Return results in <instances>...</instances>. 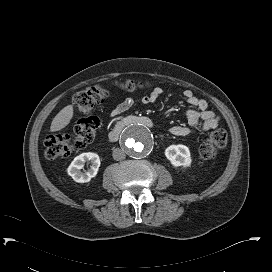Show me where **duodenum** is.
Returning a JSON list of instances; mask_svg holds the SVG:
<instances>
[{
    "mask_svg": "<svg viewBox=\"0 0 272 272\" xmlns=\"http://www.w3.org/2000/svg\"><path fill=\"white\" fill-rule=\"evenodd\" d=\"M134 121L135 119L133 118H127L116 123L113 128L108 132V141L111 143L116 142L119 139L123 128L126 125L133 123Z\"/></svg>",
    "mask_w": 272,
    "mask_h": 272,
    "instance_id": "obj_1",
    "label": "duodenum"
}]
</instances>
